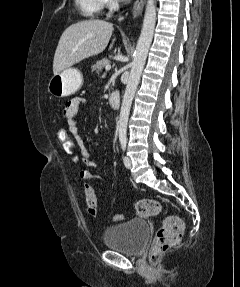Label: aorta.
I'll list each match as a JSON object with an SVG mask.
<instances>
[{
    "instance_id": "762f6f07",
    "label": "aorta",
    "mask_w": 240,
    "mask_h": 287,
    "mask_svg": "<svg viewBox=\"0 0 240 287\" xmlns=\"http://www.w3.org/2000/svg\"><path fill=\"white\" fill-rule=\"evenodd\" d=\"M155 25L156 0H147L143 26L134 52V59L120 110L118 121V134L120 140L126 139L131 104L152 43Z\"/></svg>"
}]
</instances>
